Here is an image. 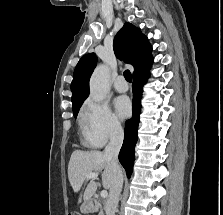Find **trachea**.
I'll list each match as a JSON object with an SVG mask.
<instances>
[{
  "mask_svg": "<svg viewBox=\"0 0 223 215\" xmlns=\"http://www.w3.org/2000/svg\"><path fill=\"white\" fill-rule=\"evenodd\" d=\"M124 77L127 80V82H132V76H131V72L129 70H125Z\"/></svg>",
  "mask_w": 223,
  "mask_h": 215,
  "instance_id": "trachea-1",
  "label": "trachea"
}]
</instances>
